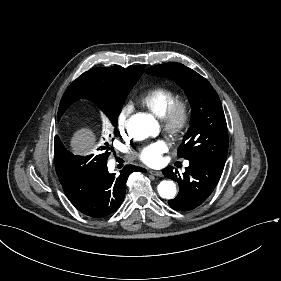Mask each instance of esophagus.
I'll return each instance as SVG.
<instances>
[{
    "mask_svg": "<svg viewBox=\"0 0 281 281\" xmlns=\"http://www.w3.org/2000/svg\"><path fill=\"white\" fill-rule=\"evenodd\" d=\"M149 173L154 175V176L163 177V173L161 171H158V170H150Z\"/></svg>",
    "mask_w": 281,
    "mask_h": 281,
    "instance_id": "obj_1",
    "label": "esophagus"
}]
</instances>
